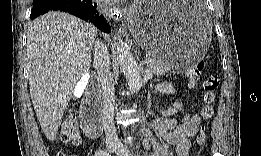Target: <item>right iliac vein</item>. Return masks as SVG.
<instances>
[{
    "label": "right iliac vein",
    "mask_w": 261,
    "mask_h": 156,
    "mask_svg": "<svg viewBox=\"0 0 261 156\" xmlns=\"http://www.w3.org/2000/svg\"><path fill=\"white\" fill-rule=\"evenodd\" d=\"M106 148L109 152H114L117 149V144L113 143V142H107L106 143Z\"/></svg>",
    "instance_id": "63e3f726"
}]
</instances>
